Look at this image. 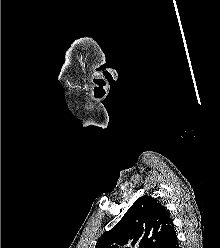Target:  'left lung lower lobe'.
Here are the masks:
<instances>
[{"mask_svg": "<svg viewBox=\"0 0 220 248\" xmlns=\"http://www.w3.org/2000/svg\"><path fill=\"white\" fill-rule=\"evenodd\" d=\"M162 248H179L175 229H173L172 233L170 234L169 238L166 240Z\"/></svg>", "mask_w": 220, "mask_h": 248, "instance_id": "obj_1", "label": "left lung lower lobe"}]
</instances>
